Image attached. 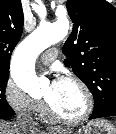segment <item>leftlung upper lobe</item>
Instances as JSON below:
<instances>
[{
  "label": "left lung upper lobe",
  "mask_w": 116,
  "mask_h": 134,
  "mask_svg": "<svg viewBox=\"0 0 116 134\" xmlns=\"http://www.w3.org/2000/svg\"><path fill=\"white\" fill-rule=\"evenodd\" d=\"M73 31L64 64L89 88L94 110L116 106V8L106 0H68Z\"/></svg>",
  "instance_id": "left-lung-upper-lobe-1"
}]
</instances>
